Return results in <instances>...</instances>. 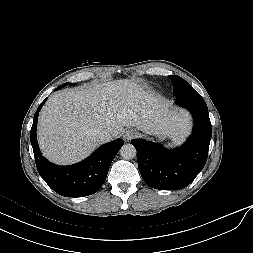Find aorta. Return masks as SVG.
I'll return each instance as SVG.
<instances>
[{
    "label": "aorta",
    "mask_w": 253,
    "mask_h": 253,
    "mask_svg": "<svg viewBox=\"0 0 253 253\" xmlns=\"http://www.w3.org/2000/svg\"><path fill=\"white\" fill-rule=\"evenodd\" d=\"M120 154L124 159L130 160L135 158L137 152L136 148L132 144H124L120 149Z\"/></svg>",
    "instance_id": "obj_1"
}]
</instances>
